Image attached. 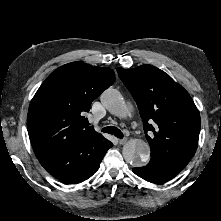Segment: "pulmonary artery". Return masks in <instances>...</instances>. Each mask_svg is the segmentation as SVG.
Here are the masks:
<instances>
[{
    "label": "pulmonary artery",
    "mask_w": 221,
    "mask_h": 221,
    "mask_svg": "<svg viewBox=\"0 0 221 221\" xmlns=\"http://www.w3.org/2000/svg\"><path fill=\"white\" fill-rule=\"evenodd\" d=\"M128 107H131V105H130V104H128Z\"/></svg>",
    "instance_id": "1"
}]
</instances>
